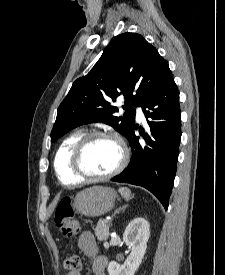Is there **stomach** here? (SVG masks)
<instances>
[{
  "label": "stomach",
  "mask_w": 225,
  "mask_h": 275,
  "mask_svg": "<svg viewBox=\"0 0 225 275\" xmlns=\"http://www.w3.org/2000/svg\"><path fill=\"white\" fill-rule=\"evenodd\" d=\"M115 190L104 186H93L79 192L74 198L76 211L86 217H98L108 213L114 206Z\"/></svg>",
  "instance_id": "0dacf381"
}]
</instances>
